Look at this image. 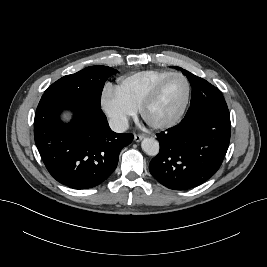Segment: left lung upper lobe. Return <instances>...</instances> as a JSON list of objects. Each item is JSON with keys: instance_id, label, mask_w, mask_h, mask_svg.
I'll return each mask as SVG.
<instances>
[{"instance_id": "obj_1", "label": "left lung upper lobe", "mask_w": 267, "mask_h": 267, "mask_svg": "<svg viewBox=\"0 0 267 267\" xmlns=\"http://www.w3.org/2000/svg\"><path fill=\"white\" fill-rule=\"evenodd\" d=\"M174 68L181 70L182 73L188 78L192 86L191 102L207 98L212 102V111H219L221 109L227 108V104L221 92L216 87L211 85L206 80L193 75L189 71H186L180 67Z\"/></svg>"}]
</instances>
